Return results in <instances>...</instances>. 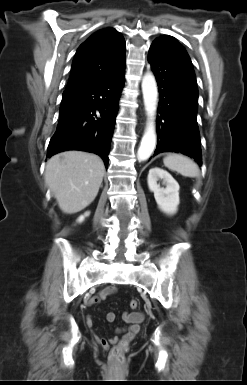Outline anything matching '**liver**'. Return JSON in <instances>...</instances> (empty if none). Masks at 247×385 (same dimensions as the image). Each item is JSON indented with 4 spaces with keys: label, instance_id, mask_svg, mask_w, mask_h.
Returning a JSON list of instances; mask_svg holds the SVG:
<instances>
[{
    "label": "liver",
    "instance_id": "liver-1",
    "mask_svg": "<svg viewBox=\"0 0 247 385\" xmlns=\"http://www.w3.org/2000/svg\"><path fill=\"white\" fill-rule=\"evenodd\" d=\"M102 159L91 153L67 151L46 164L45 183L67 214L77 213L96 198L104 176Z\"/></svg>",
    "mask_w": 247,
    "mask_h": 385
}]
</instances>
